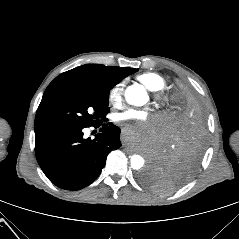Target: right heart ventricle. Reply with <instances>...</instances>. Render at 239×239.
Masks as SVG:
<instances>
[{
  "label": "right heart ventricle",
  "instance_id": "right-heart-ventricle-1",
  "mask_svg": "<svg viewBox=\"0 0 239 239\" xmlns=\"http://www.w3.org/2000/svg\"><path fill=\"white\" fill-rule=\"evenodd\" d=\"M137 80L141 82L148 90L153 92H160L165 87L164 78L153 72H146L138 75Z\"/></svg>",
  "mask_w": 239,
  "mask_h": 239
}]
</instances>
